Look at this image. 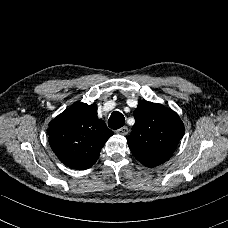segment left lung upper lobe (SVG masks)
I'll use <instances>...</instances> for the list:
<instances>
[{
    "mask_svg": "<svg viewBox=\"0 0 228 228\" xmlns=\"http://www.w3.org/2000/svg\"><path fill=\"white\" fill-rule=\"evenodd\" d=\"M134 118L132 132L127 136L133 156L147 167L167 161L184 134L179 116L161 104L140 101Z\"/></svg>",
    "mask_w": 228,
    "mask_h": 228,
    "instance_id": "left-lung-upper-lobe-1",
    "label": "left lung upper lobe"
}]
</instances>
